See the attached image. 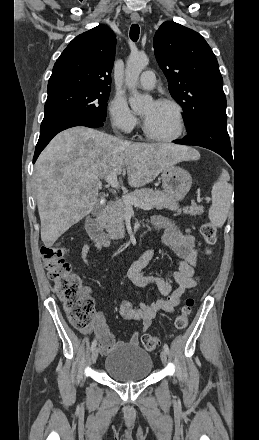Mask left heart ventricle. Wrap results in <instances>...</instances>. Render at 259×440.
Masks as SVG:
<instances>
[{"label": "left heart ventricle", "instance_id": "b2bd125f", "mask_svg": "<svg viewBox=\"0 0 259 440\" xmlns=\"http://www.w3.org/2000/svg\"><path fill=\"white\" fill-rule=\"evenodd\" d=\"M142 115L147 128L157 136H171L177 130L176 112L170 105L149 103L143 108Z\"/></svg>", "mask_w": 259, "mask_h": 440}]
</instances>
